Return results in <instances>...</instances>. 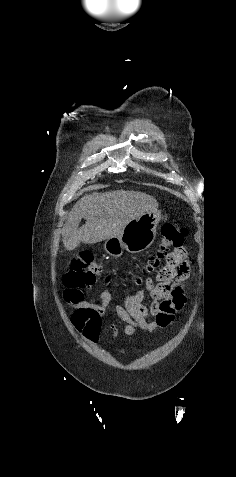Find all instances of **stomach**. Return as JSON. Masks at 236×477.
<instances>
[{
  "label": "stomach",
  "mask_w": 236,
  "mask_h": 477,
  "mask_svg": "<svg viewBox=\"0 0 236 477\" xmlns=\"http://www.w3.org/2000/svg\"><path fill=\"white\" fill-rule=\"evenodd\" d=\"M160 220L159 211L147 212L133 219L120 235L105 241L104 250L113 257L121 256L124 251L132 254L143 252L153 244Z\"/></svg>",
  "instance_id": "obj_1"
}]
</instances>
